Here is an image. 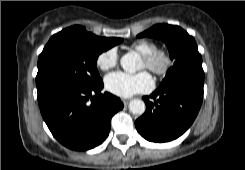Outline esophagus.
<instances>
[{
    "label": "esophagus",
    "instance_id": "1",
    "mask_svg": "<svg viewBox=\"0 0 245 170\" xmlns=\"http://www.w3.org/2000/svg\"><path fill=\"white\" fill-rule=\"evenodd\" d=\"M122 101H123L124 105H127L129 103L128 99H123Z\"/></svg>",
    "mask_w": 245,
    "mask_h": 170
}]
</instances>
